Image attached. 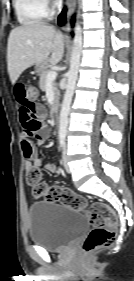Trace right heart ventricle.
Returning a JSON list of instances; mask_svg holds the SVG:
<instances>
[{
	"instance_id": "e07e8e85",
	"label": "right heart ventricle",
	"mask_w": 134,
	"mask_h": 281,
	"mask_svg": "<svg viewBox=\"0 0 134 281\" xmlns=\"http://www.w3.org/2000/svg\"><path fill=\"white\" fill-rule=\"evenodd\" d=\"M18 21L23 25L41 22L48 16L45 0H13Z\"/></svg>"
}]
</instances>
